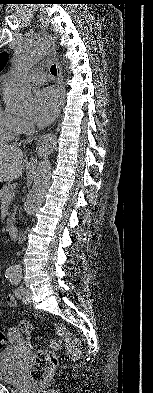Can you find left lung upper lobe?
<instances>
[{
    "label": "left lung upper lobe",
    "mask_w": 153,
    "mask_h": 393,
    "mask_svg": "<svg viewBox=\"0 0 153 393\" xmlns=\"http://www.w3.org/2000/svg\"><path fill=\"white\" fill-rule=\"evenodd\" d=\"M6 61H7V55H6V53H1V54H0V71H1L2 68L4 67Z\"/></svg>",
    "instance_id": "obj_1"
}]
</instances>
